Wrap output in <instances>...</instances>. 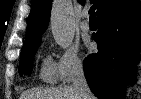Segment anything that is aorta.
I'll list each match as a JSON object with an SVG mask.
<instances>
[{"label": "aorta", "mask_w": 141, "mask_h": 99, "mask_svg": "<svg viewBox=\"0 0 141 99\" xmlns=\"http://www.w3.org/2000/svg\"><path fill=\"white\" fill-rule=\"evenodd\" d=\"M50 22L55 42L63 48L68 47L75 33L72 3L69 0H55Z\"/></svg>", "instance_id": "762f6f07"}]
</instances>
